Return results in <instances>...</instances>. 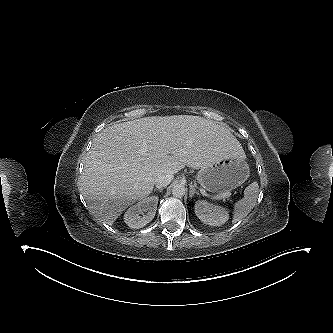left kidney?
Returning <instances> with one entry per match:
<instances>
[{
  "mask_svg": "<svg viewBox=\"0 0 333 333\" xmlns=\"http://www.w3.org/2000/svg\"><path fill=\"white\" fill-rule=\"evenodd\" d=\"M195 214L205 224L210 226L223 225L229 219V212L226 208L198 200L195 203Z\"/></svg>",
  "mask_w": 333,
  "mask_h": 333,
  "instance_id": "5707ae66",
  "label": "left kidney"
}]
</instances>
